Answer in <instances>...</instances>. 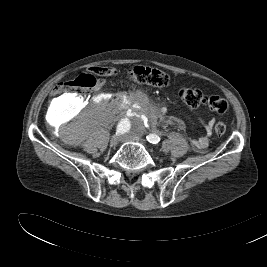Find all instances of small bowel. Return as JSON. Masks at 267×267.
<instances>
[{"label":"small bowel","mask_w":267,"mask_h":267,"mask_svg":"<svg viewBox=\"0 0 267 267\" xmlns=\"http://www.w3.org/2000/svg\"><path fill=\"white\" fill-rule=\"evenodd\" d=\"M212 127H213V121L208 120L205 123V133L206 135L203 137H200L199 139L194 140V145L199 149H204L208 146L209 143V136L212 133Z\"/></svg>","instance_id":"small-bowel-1"}]
</instances>
